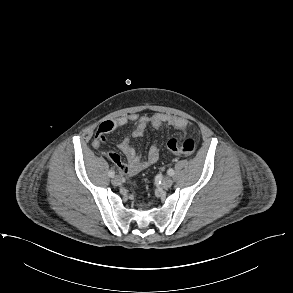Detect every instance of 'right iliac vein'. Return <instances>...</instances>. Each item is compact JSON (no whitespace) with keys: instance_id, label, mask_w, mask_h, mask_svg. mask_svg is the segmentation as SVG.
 Listing matches in <instances>:
<instances>
[{"instance_id":"obj_1","label":"right iliac vein","mask_w":293,"mask_h":293,"mask_svg":"<svg viewBox=\"0 0 293 293\" xmlns=\"http://www.w3.org/2000/svg\"><path fill=\"white\" fill-rule=\"evenodd\" d=\"M114 186H119L121 184V178L119 176H115L111 180Z\"/></svg>"}]
</instances>
